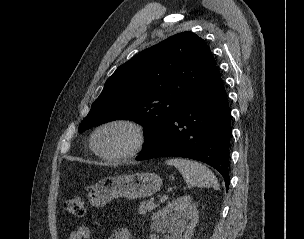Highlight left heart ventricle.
<instances>
[{"mask_svg":"<svg viewBox=\"0 0 304 239\" xmlns=\"http://www.w3.org/2000/svg\"><path fill=\"white\" fill-rule=\"evenodd\" d=\"M133 143V133L123 126H112L102 130L97 137V145L107 154L121 153Z\"/></svg>","mask_w":304,"mask_h":239,"instance_id":"1","label":"left heart ventricle"}]
</instances>
